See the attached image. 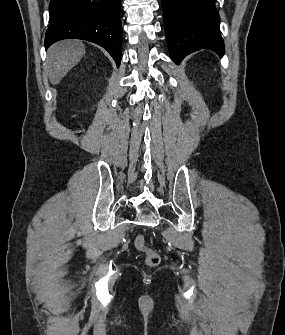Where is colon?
<instances>
[{"label":"colon","mask_w":285,"mask_h":335,"mask_svg":"<svg viewBox=\"0 0 285 335\" xmlns=\"http://www.w3.org/2000/svg\"><path fill=\"white\" fill-rule=\"evenodd\" d=\"M134 245L139 251L144 253L146 265L153 267L160 263V254L156 250L148 247L143 235H137L135 237Z\"/></svg>","instance_id":"5ec220e1"}]
</instances>
